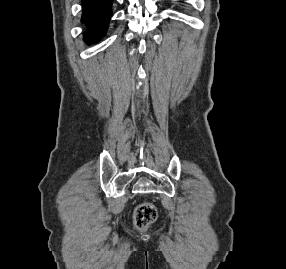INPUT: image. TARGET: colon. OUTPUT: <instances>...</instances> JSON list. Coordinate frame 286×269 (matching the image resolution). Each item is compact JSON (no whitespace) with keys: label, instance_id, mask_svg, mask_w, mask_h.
<instances>
[{"label":"colon","instance_id":"5ec220e1","mask_svg":"<svg viewBox=\"0 0 286 269\" xmlns=\"http://www.w3.org/2000/svg\"><path fill=\"white\" fill-rule=\"evenodd\" d=\"M157 219V211L153 204L145 202L138 205L134 212L135 226L143 230Z\"/></svg>","mask_w":286,"mask_h":269}]
</instances>
